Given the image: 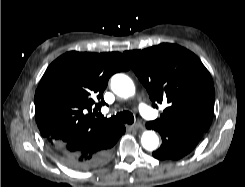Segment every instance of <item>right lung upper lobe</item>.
<instances>
[{"label": "right lung upper lobe", "mask_w": 245, "mask_h": 187, "mask_svg": "<svg viewBox=\"0 0 245 187\" xmlns=\"http://www.w3.org/2000/svg\"><path fill=\"white\" fill-rule=\"evenodd\" d=\"M129 69L119 52H67L45 71L35 93V119L42 136L55 149L88 133L115 125L95 118L111 75Z\"/></svg>", "instance_id": "right-lung-upper-lobe-1"}]
</instances>
